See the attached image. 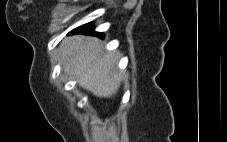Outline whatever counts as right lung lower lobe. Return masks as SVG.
I'll return each instance as SVG.
<instances>
[{
  "mask_svg": "<svg viewBox=\"0 0 227 142\" xmlns=\"http://www.w3.org/2000/svg\"><path fill=\"white\" fill-rule=\"evenodd\" d=\"M71 33H83V34H93V35L102 36V33L94 32V27L91 23L82 25L74 29Z\"/></svg>",
  "mask_w": 227,
  "mask_h": 142,
  "instance_id": "obj_1",
  "label": "right lung lower lobe"
}]
</instances>
